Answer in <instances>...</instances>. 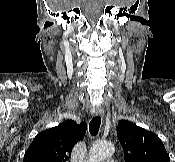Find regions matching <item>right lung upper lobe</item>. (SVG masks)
Segmentation results:
<instances>
[{
	"instance_id": "cb5924a9",
	"label": "right lung upper lobe",
	"mask_w": 175,
	"mask_h": 162,
	"mask_svg": "<svg viewBox=\"0 0 175 162\" xmlns=\"http://www.w3.org/2000/svg\"><path fill=\"white\" fill-rule=\"evenodd\" d=\"M86 133V124L67 120L40 132L24 155L23 162H67L73 146Z\"/></svg>"
}]
</instances>
